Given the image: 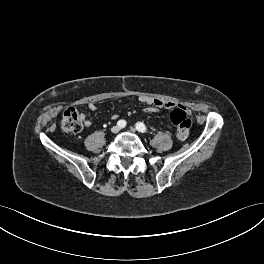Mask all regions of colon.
I'll return each mask as SVG.
<instances>
[{
    "label": "colon",
    "mask_w": 264,
    "mask_h": 264,
    "mask_svg": "<svg viewBox=\"0 0 264 264\" xmlns=\"http://www.w3.org/2000/svg\"><path fill=\"white\" fill-rule=\"evenodd\" d=\"M172 124L176 129V134L180 139H185L189 136L191 129V119L188 117L186 110L178 106L170 114ZM61 127L65 133L76 134L82 130L83 124L80 114L75 108L65 110Z\"/></svg>",
    "instance_id": "colon-1"
}]
</instances>
